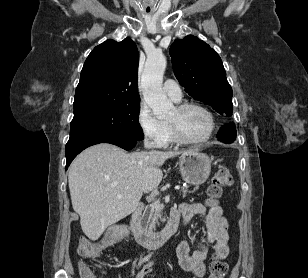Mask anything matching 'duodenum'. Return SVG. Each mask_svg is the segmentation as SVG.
<instances>
[{"label":"duodenum","instance_id":"1","mask_svg":"<svg viewBox=\"0 0 308 278\" xmlns=\"http://www.w3.org/2000/svg\"><path fill=\"white\" fill-rule=\"evenodd\" d=\"M142 212L143 205H137L131 214L129 222L131 233L139 244L154 249L164 244L176 232L179 222V216L174 210L171 211L168 222L165 227L158 232H149L141 227L140 217Z\"/></svg>","mask_w":308,"mask_h":278}]
</instances>
